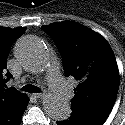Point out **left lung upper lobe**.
<instances>
[{
    "mask_svg": "<svg viewBox=\"0 0 125 125\" xmlns=\"http://www.w3.org/2000/svg\"><path fill=\"white\" fill-rule=\"evenodd\" d=\"M57 44L66 76L78 81L72 112L105 121L119 89V70L106 39L71 21L42 26Z\"/></svg>",
    "mask_w": 125,
    "mask_h": 125,
    "instance_id": "obj_1",
    "label": "left lung upper lobe"
}]
</instances>
